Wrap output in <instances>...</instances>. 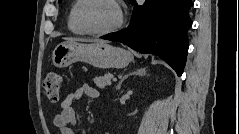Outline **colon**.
<instances>
[{
	"mask_svg": "<svg viewBox=\"0 0 239 134\" xmlns=\"http://www.w3.org/2000/svg\"><path fill=\"white\" fill-rule=\"evenodd\" d=\"M61 85L62 80L60 75H58L57 73H50L45 78L43 85L44 92L51 102L56 103L59 101Z\"/></svg>",
	"mask_w": 239,
	"mask_h": 134,
	"instance_id": "colon-1",
	"label": "colon"
}]
</instances>
